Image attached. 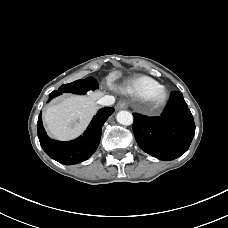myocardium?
<instances>
[{"label": "myocardium", "mask_w": 228, "mask_h": 228, "mask_svg": "<svg viewBox=\"0 0 228 228\" xmlns=\"http://www.w3.org/2000/svg\"><path fill=\"white\" fill-rule=\"evenodd\" d=\"M169 93L163 86H159L148 93L145 100L153 110L162 109L168 102Z\"/></svg>", "instance_id": "obj_1"}]
</instances>
